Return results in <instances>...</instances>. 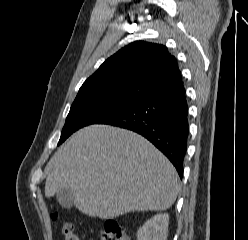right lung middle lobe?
Returning a JSON list of instances; mask_svg holds the SVG:
<instances>
[{
    "instance_id": "1",
    "label": "right lung middle lobe",
    "mask_w": 248,
    "mask_h": 240,
    "mask_svg": "<svg viewBox=\"0 0 248 240\" xmlns=\"http://www.w3.org/2000/svg\"><path fill=\"white\" fill-rule=\"evenodd\" d=\"M138 99L140 98L113 89H80L71 106L58 144L64 142L76 130L97 123Z\"/></svg>"
}]
</instances>
